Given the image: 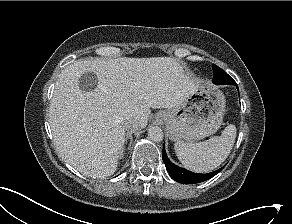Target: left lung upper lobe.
<instances>
[{
    "mask_svg": "<svg viewBox=\"0 0 292 224\" xmlns=\"http://www.w3.org/2000/svg\"><path fill=\"white\" fill-rule=\"evenodd\" d=\"M213 73H214V78L213 82L215 84H219L218 82L224 81L225 79V73L221 68L213 64Z\"/></svg>",
    "mask_w": 292,
    "mask_h": 224,
    "instance_id": "obj_1",
    "label": "left lung upper lobe"
}]
</instances>
